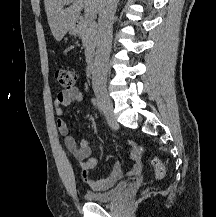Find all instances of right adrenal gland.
<instances>
[{
  "instance_id": "obj_1",
  "label": "right adrenal gland",
  "mask_w": 216,
  "mask_h": 217,
  "mask_svg": "<svg viewBox=\"0 0 216 217\" xmlns=\"http://www.w3.org/2000/svg\"><path fill=\"white\" fill-rule=\"evenodd\" d=\"M119 1H120V0H117V4H119Z\"/></svg>"
}]
</instances>
